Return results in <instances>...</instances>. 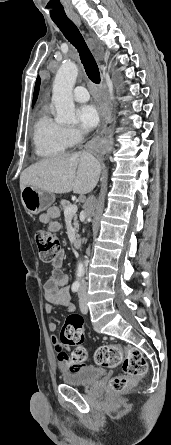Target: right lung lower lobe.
Returning <instances> with one entry per match:
<instances>
[{
    "instance_id": "98d812e1",
    "label": "right lung lower lobe",
    "mask_w": 171,
    "mask_h": 445,
    "mask_svg": "<svg viewBox=\"0 0 171 445\" xmlns=\"http://www.w3.org/2000/svg\"><path fill=\"white\" fill-rule=\"evenodd\" d=\"M91 148L95 153L103 155L109 150V144L106 141L95 140L91 143Z\"/></svg>"
}]
</instances>
